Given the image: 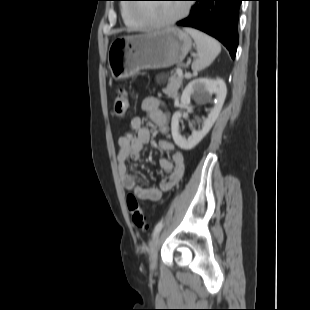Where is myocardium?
<instances>
[{"mask_svg": "<svg viewBox=\"0 0 310 310\" xmlns=\"http://www.w3.org/2000/svg\"><path fill=\"white\" fill-rule=\"evenodd\" d=\"M189 11H190V5L184 4L182 11L177 16L171 19H168V20H164V21H156V20H152V19L140 16L137 13V9L134 8L133 6L130 8V14L134 19L140 21L145 27L153 28V29H159V28H165V27L171 26L177 23L178 21H180L181 19H183L184 17H186Z\"/></svg>", "mask_w": 310, "mask_h": 310, "instance_id": "1", "label": "myocardium"}]
</instances>
